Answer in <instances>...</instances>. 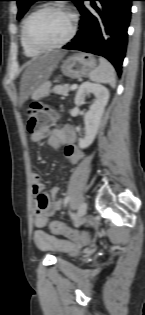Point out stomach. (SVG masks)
<instances>
[{"label": "stomach", "instance_id": "1", "mask_svg": "<svg viewBox=\"0 0 145 315\" xmlns=\"http://www.w3.org/2000/svg\"><path fill=\"white\" fill-rule=\"evenodd\" d=\"M97 62L94 56L86 53L74 54L62 61L60 66L63 75L77 79L88 76L96 69Z\"/></svg>", "mask_w": 145, "mask_h": 315}]
</instances>
